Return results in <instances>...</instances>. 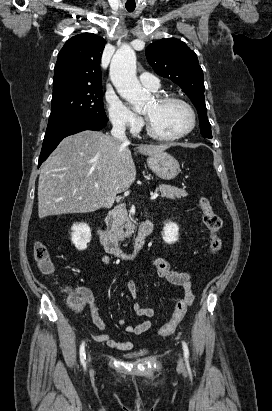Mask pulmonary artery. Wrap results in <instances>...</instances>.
Here are the masks:
<instances>
[{
  "label": "pulmonary artery",
  "mask_w": 272,
  "mask_h": 411,
  "mask_svg": "<svg viewBox=\"0 0 272 411\" xmlns=\"http://www.w3.org/2000/svg\"><path fill=\"white\" fill-rule=\"evenodd\" d=\"M139 79L142 85L151 91H157L160 88V83L157 77L150 73H141Z\"/></svg>",
  "instance_id": "e3ab8cb5"
}]
</instances>
